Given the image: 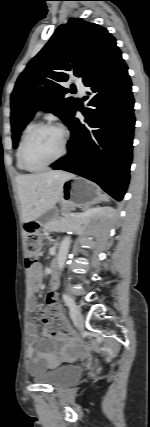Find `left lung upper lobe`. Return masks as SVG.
<instances>
[{
    "instance_id": "5c2ea615",
    "label": "left lung upper lobe",
    "mask_w": 150,
    "mask_h": 427,
    "mask_svg": "<svg viewBox=\"0 0 150 427\" xmlns=\"http://www.w3.org/2000/svg\"><path fill=\"white\" fill-rule=\"evenodd\" d=\"M115 38L106 28L81 18L60 25L45 47L28 63L11 95L13 147L21 131L38 109L58 115L67 123L76 101L65 97L61 86L70 74L88 79L101 62L116 48Z\"/></svg>"
}]
</instances>
